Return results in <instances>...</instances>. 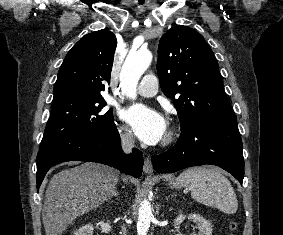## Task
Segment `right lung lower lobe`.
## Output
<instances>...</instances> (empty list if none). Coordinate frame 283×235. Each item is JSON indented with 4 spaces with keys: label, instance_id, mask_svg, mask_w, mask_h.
Segmentation results:
<instances>
[{
    "label": "right lung lower lobe",
    "instance_id": "98d812e1",
    "mask_svg": "<svg viewBox=\"0 0 283 235\" xmlns=\"http://www.w3.org/2000/svg\"><path fill=\"white\" fill-rule=\"evenodd\" d=\"M91 161L106 164L130 174L141 176L143 156L133 149L124 155L116 125L92 135H78L59 142L37 154V190L51 166L64 161Z\"/></svg>",
    "mask_w": 283,
    "mask_h": 235
}]
</instances>
